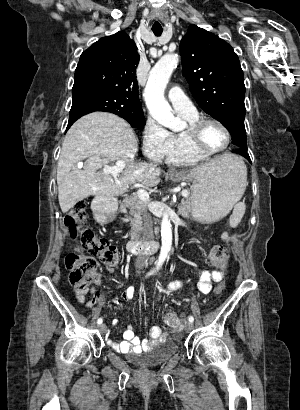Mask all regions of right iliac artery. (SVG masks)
<instances>
[{
	"mask_svg": "<svg viewBox=\"0 0 300 410\" xmlns=\"http://www.w3.org/2000/svg\"><path fill=\"white\" fill-rule=\"evenodd\" d=\"M102 322H103L102 318H99V319L97 320V324H98V325L102 324Z\"/></svg>",
	"mask_w": 300,
	"mask_h": 410,
	"instance_id": "obj_1",
	"label": "right iliac artery"
}]
</instances>
